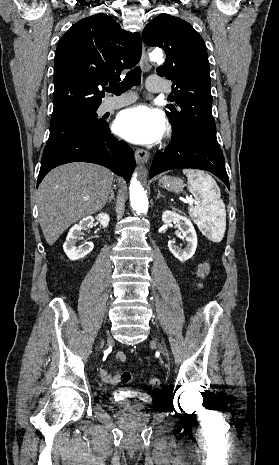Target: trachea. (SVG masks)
<instances>
[{
	"label": "trachea",
	"mask_w": 279,
	"mask_h": 465,
	"mask_svg": "<svg viewBox=\"0 0 279 465\" xmlns=\"http://www.w3.org/2000/svg\"><path fill=\"white\" fill-rule=\"evenodd\" d=\"M141 84V68L136 67L133 70L129 71L120 83H111L109 87L106 88L107 92H111L115 95H120L125 91L131 89L133 86H139Z\"/></svg>",
	"instance_id": "obj_1"
}]
</instances>
